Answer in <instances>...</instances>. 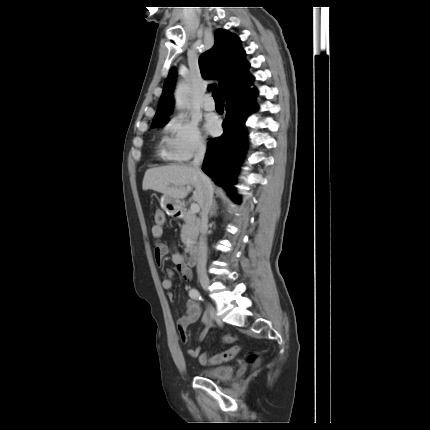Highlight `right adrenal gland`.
Listing matches in <instances>:
<instances>
[{
	"instance_id": "right-adrenal-gland-1",
	"label": "right adrenal gland",
	"mask_w": 430,
	"mask_h": 430,
	"mask_svg": "<svg viewBox=\"0 0 430 430\" xmlns=\"http://www.w3.org/2000/svg\"><path fill=\"white\" fill-rule=\"evenodd\" d=\"M217 215V204L216 201H213L212 208L210 210V218Z\"/></svg>"
}]
</instances>
